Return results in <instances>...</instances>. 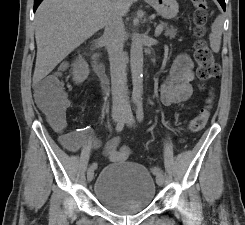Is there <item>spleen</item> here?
<instances>
[{"label":"spleen","instance_id":"1","mask_svg":"<svg viewBox=\"0 0 245 225\" xmlns=\"http://www.w3.org/2000/svg\"><path fill=\"white\" fill-rule=\"evenodd\" d=\"M223 32V20L218 16L211 26V34L209 35L211 49L217 53L220 50L221 36Z\"/></svg>","mask_w":245,"mask_h":225}]
</instances>
